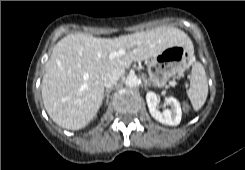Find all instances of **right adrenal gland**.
<instances>
[{
  "instance_id": "1",
  "label": "right adrenal gland",
  "mask_w": 245,
  "mask_h": 170,
  "mask_svg": "<svg viewBox=\"0 0 245 170\" xmlns=\"http://www.w3.org/2000/svg\"><path fill=\"white\" fill-rule=\"evenodd\" d=\"M112 91V88L106 89L105 93H104V97H106V104H108L109 102V96H110V92Z\"/></svg>"
}]
</instances>
